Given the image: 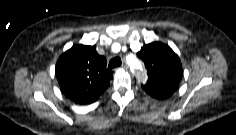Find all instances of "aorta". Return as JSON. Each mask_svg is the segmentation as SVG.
Returning a JSON list of instances; mask_svg holds the SVG:
<instances>
[{"label": "aorta", "instance_id": "aorta-1", "mask_svg": "<svg viewBox=\"0 0 236 135\" xmlns=\"http://www.w3.org/2000/svg\"><path fill=\"white\" fill-rule=\"evenodd\" d=\"M132 67H133V68H138V67H140L139 62H138V61H134V62L132 63Z\"/></svg>", "mask_w": 236, "mask_h": 135}]
</instances>
